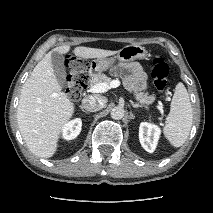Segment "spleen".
I'll return each instance as SVG.
<instances>
[{
	"label": "spleen",
	"mask_w": 213,
	"mask_h": 213,
	"mask_svg": "<svg viewBox=\"0 0 213 213\" xmlns=\"http://www.w3.org/2000/svg\"><path fill=\"white\" fill-rule=\"evenodd\" d=\"M193 122V111L189 94L183 83H178L166 118L163 132L174 147L182 146L189 136Z\"/></svg>",
	"instance_id": "3e777b00"
}]
</instances>
